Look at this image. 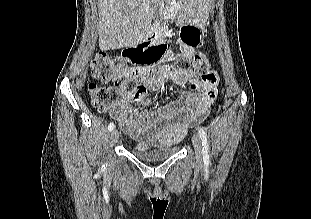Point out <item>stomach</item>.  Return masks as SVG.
<instances>
[{"instance_id":"obj_1","label":"stomach","mask_w":311,"mask_h":219,"mask_svg":"<svg viewBox=\"0 0 311 219\" xmlns=\"http://www.w3.org/2000/svg\"><path fill=\"white\" fill-rule=\"evenodd\" d=\"M180 4H181L182 11L177 13L176 15V23L178 25H183L188 22L196 24V25H201L204 23V20L202 17H196V16L191 15L188 11L184 9L183 7L184 3L180 1Z\"/></svg>"}]
</instances>
